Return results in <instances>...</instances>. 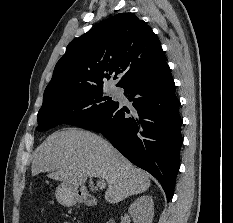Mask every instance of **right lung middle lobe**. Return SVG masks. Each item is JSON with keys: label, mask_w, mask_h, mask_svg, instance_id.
Instances as JSON below:
<instances>
[{"label": "right lung middle lobe", "mask_w": 233, "mask_h": 223, "mask_svg": "<svg viewBox=\"0 0 233 223\" xmlns=\"http://www.w3.org/2000/svg\"><path fill=\"white\" fill-rule=\"evenodd\" d=\"M116 101L103 97V88H94L72 94L42 105L38 112L39 131L54 128L60 124L77 125L89 123L104 110L116 105Z\"/></svg>", "instance_id": "obj_1"}]
</instances>
